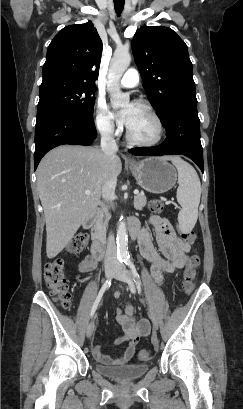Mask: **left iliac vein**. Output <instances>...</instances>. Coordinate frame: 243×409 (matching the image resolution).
<instances>
[{
  "instance_id": "obj_1",
  "label": "left iliac vein",
  "mask_w": 243,
  "mask_h": 409,
  "mask_svg": "<svg viewBox=\"0 0 243 409\" xmlns=\"http://www.w3.org/2000/svg\"><path fill=\"white\" fill-rule=\"evenodd\" d=\"M114 276L116 279L123 281V282H127L128 284L133 285L135 283L132 273L128 271L124 265H116ZM149 316L152 321L154 330H158L157 319L155 318L153 312L150 309H149ZM155 348H156V343H155Z\"/></svg>"
}]
</instances>
